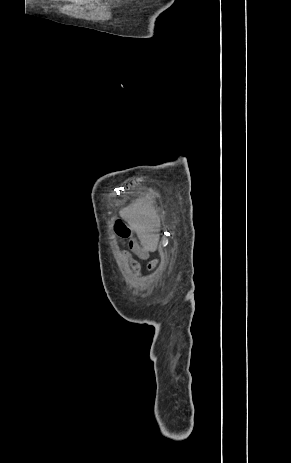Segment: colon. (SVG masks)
Wrapping results in <instances>:
<instances>
[{"label":"colon","instance_id":"5ec220e1","mask_svg":"<svg viewBox=\"0 0 291 463\" xmlns=\"http://www.w3.org/2000/svg\"><path fill=\"white\" fill-rule=\"evenodd\" d=\"M114 228H115L116 234L119 237L126 236L129 234L128 227L121 220L116 221Z\"/></svg>","mask_w":291,"mask_h":463}]
</instances>
